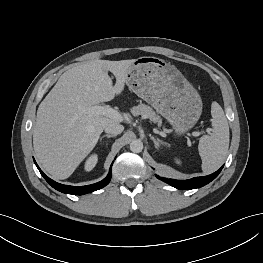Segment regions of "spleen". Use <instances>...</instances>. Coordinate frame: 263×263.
Masks as SVG:
<instances>
[{"instance_id": "spleen-1", "label": "spleen", "mask_w": 263, "mask_h": 263, "mask_svg": "<svg viewBox=\"0 0 263 263\" xmlns=\"http://www.w3.org/2000/svg\"><path fill=\"white\" fill-rule=\"evenodd\" d=\"M212 134L201 137L198 145L205 174L216 171L224 162L229 148V125L222 107L213 102L211 105Z\"/></svg>"}]
</instances>
